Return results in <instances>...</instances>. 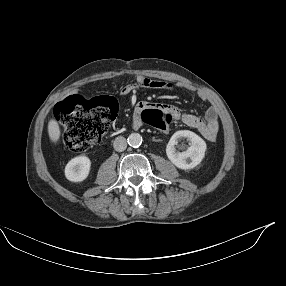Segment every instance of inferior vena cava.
Here are the masks:
<instances>
[{
  "label": "inferior vena cava",
  "instance_id": "602c4592",
  "mask_svg": "<svg viewBox=\"0 0 286 286\" xmlns=\"http://www.w3.org/2000/svg\"><path fill=\"white\" fill-rule=\"evenodd\" d=\"M113 147L116 151L122 152L127 147V141L124 137L119 136L114 140Z\"/></svg>",
  "mask_w": 286,
  "mask_h": 286
}]
</instances>
